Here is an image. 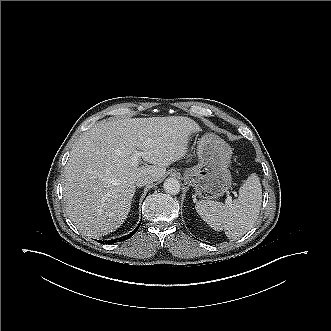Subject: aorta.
<instances>
[{"instance_id":"762f6f07","label":"aorta","mask_w":331,"mask_h":331,"mask_svg":"<svg viewBox=\"0 0 331 331\" xmlns=\"http://www.w3.org/2000/svg\"><path fill=\"white\" fill-rule=\"evenodd\" d=\"M164 191L170 195H177L180 192L181 185L175 178H167L163 184Z\"/></svg>"}]
</instances>
